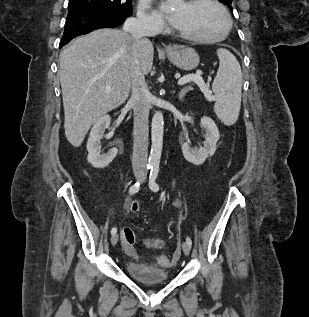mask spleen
I'll list each match as a JSON object with an SVG mask.
<instances>
[{"label": "spleen", "mask_w": 309, "mask_h": 317, "mask_svg": "<svg viewBox=\"0 0 309 317\" xmlns=\"http://www.w3.org/2000/svg\"><path fill=\"white\" fill-rule=\"evenodd\" d=\"M219 68L212 84L214 111L225 125H233L241 107L242 72L236 57L227 49L217 50Z\"/></svg>", "instance_id": "3e777b00"}]
</instances>
